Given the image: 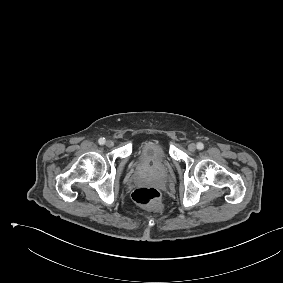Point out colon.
Returning a JSON list of instances; mask_svg holds the SVG:
<instances>
[{"mask_svg": "<svg viewBox=\"0 0 283 283\" xmlns=\"http://www.w3.org/2000/svg\"><path fill=\"white\" fill-rule=\"evenodd\" d=\"M132 199L139 205L156 211L161 209V193L154 187H140L133 191Z\"/></svg>", "mask_w": 283, "mask_h": 283, "instance_id": "5ec220e1", "label": "colon"}]
</instances>
